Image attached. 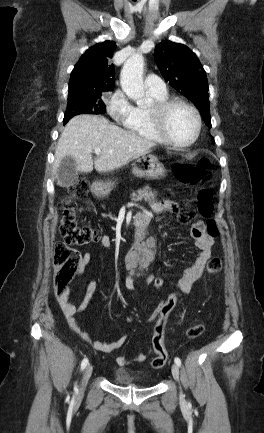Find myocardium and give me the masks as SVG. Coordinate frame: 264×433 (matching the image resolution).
Listing matches in <instances>:
<instances>
[{
    "instance_id": "myocardium-1",
    "label": "myocardium",
    "mask_w": 264,
    "mask_h": 433,
    "mask_svg": "<svg viewBox=\"0 0 264 433\" xmlns=\"http://www.w3.org/2000/svg\"><path fill=\"white\" fill-rule=\"evenodd\" d=\"M177 106H183L188 110H190L196 122L195 133L193 134L192 138L189 141L184 143H179L176 142L174 139H172L167 129L168 115L170 111ZM149 114L155 130L157 131V133L159 134L163 142L170 146L176 148H187L194 145L198 140V138L200 137L201 130H202L201 115L195 106H193L191 103L183 99L172 98V99H167L165 101L156 102L149 109Z\"/></svg>"
}]
</instances>
